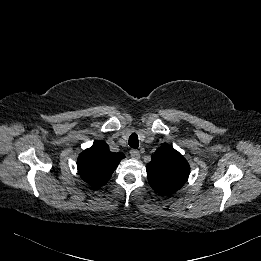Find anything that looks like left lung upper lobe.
Listing matches in <instances>:
<instances>
[{"instance_id": "5c2ea615", "label": "left lung upper lobe", "mask_w": 261, "mask_h": 261, "mask_svg": "<svg viewBox=\"0 0 261 261\" xmlns=\"http://www.w3.org/2000/svg\"><path fill=\"white\" fill-rule=\"evenodd\" d=\"M146 171L151 187L158 193L169 195L186 183L190 167L171 145H163L152 155Z\"/></svg>"}]
</instances>
